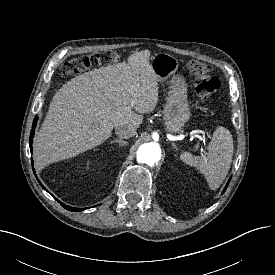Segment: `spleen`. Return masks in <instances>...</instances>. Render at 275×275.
<instances>
[{"label":"spleen","mask_w":275,"mask_h":275,"mask_svg":"<svg viewBox=\"0 0 275 275\" xmlns=\"http://www.w3.org/2000/svg\"><path fill=\"white\" fill-rule=\"evenodd\" d=\"M233 138L228 129L219 126L214 131L208 152L202 156H193L183 152L180 159L196 167L207 179L209 187L213 190L220 187L225 179L233 157Z\"/></svg>","instance_id":"spleen-1"}]
</instances>
